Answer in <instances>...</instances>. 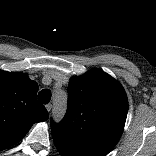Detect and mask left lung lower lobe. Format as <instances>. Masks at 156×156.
<instances>
[{
    "mask_svg": "<svg viewBox=\"0 0 156 156\" xmlns=\"http://www.w3.org/2000/svg\"><path fill=\"white\" fill-rule=\"evenodd\" d=\"M54 143L62 156H96L82 149L76 148L60 138L53 136Z\"/></svg>",
    "mask_w": 156,
    "mask_h": 156,
    "instance_id": "left-lung-lower-lobe-1",
    "label": "left lung lower lobe"
}]
</instances>
